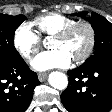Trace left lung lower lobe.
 <instances>
[{
	"mask_svg": "<svg viewBox=\"0 0 112 112\" xmlns=\"http://www.w3.org/2000/svg\"><path fill=\"white\" fill-rule=\"evenodd\" d=\"M69 84L61 101L69 112H109L112 109V55L68 71Z\"/></svg>",
	"mask_w": 112,
	"mask_h": 112,
	"instance_id": "left-lung-lower-lobe-1",
	"label": "left lung lower lobe"
}]
</instances>
